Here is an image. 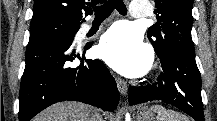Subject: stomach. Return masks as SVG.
Wrapping results in <instances>:
<instances>
[{"label":"stomach","mask_w":217,"mask_h":121,"mask_svg":"<svg viewBox=\"0 0 217 121\" xmlns=\"http://www.w3.org/2000/svg\"><path fill=\"white\" fill-rule=\"evenodd\" d=\"M136 115L138 121H155L153 112L146 106H139Z\"/></svg>","instance_id":"0dacf381"}]
</instances>
